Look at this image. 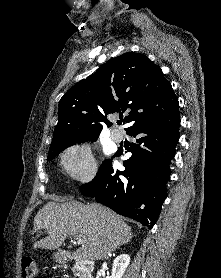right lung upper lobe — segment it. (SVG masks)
I'll return each mask as SVG.
<instances>
[{
	"instance_id": "1",
	"label": "right lung upper lobe",
	"mask_w": 221,
	"mask_h": 278,
	"mask_svg": "<svg viewBox=\"0 0 221 278\" xmlns=\"http://www.w3.org/2000/svg\"><path fill=\"white\" fill-rule=\"evenodd\" d=\"M179 109L161 68L143 54L127 52L109 60L73 86L59 102V118L50 148L99 135L106 116L129 110L132 127Z\"/></svg>"
}]
</instances>
